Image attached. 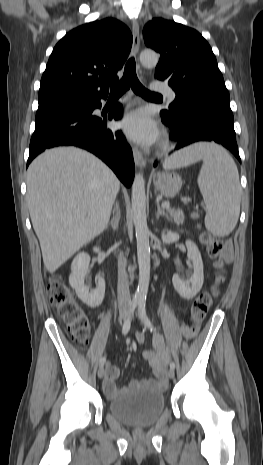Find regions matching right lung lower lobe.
I'll return each instance as SVG.
<instances>
[{"mask_svg": "<svg viewBox=\"0 0 263 465\" xmlns=\"http://www.w3.org/2000/svg\"><path fill=\"white\" fill-rule=\"evenodd\" d=\"M106 97L89 98V102L83 106L62 107L37 113L27 166L47 148L73 145L98 156L126 187H130L135 172L130 146L121 131L113 132L106 128V118L92 115L94 109L101 107L100 99ZM121 110L118 104L108 118L120 119Z\"/></svg>", "mask_w": 263, "mask_h": 465, "instance_id": "right-lung-lower-lobe-1", "label": "right lung lower lobe"}]
</instances>
